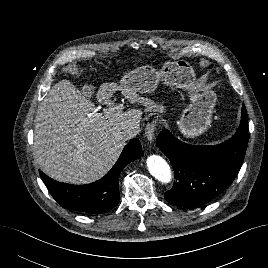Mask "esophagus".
Here are the masks:
<instances>
[{
	"label": "esophagus",
	"mask_w": 268,
	"mask_h": 268,
	"mask_svg": "<svg viewBox=\"0 0 268 268\" xmlns=\"http://www.w3.org/2000/svg\"><path fill=\"white\" fill-rule=\"evenodd\" d=\"M156 133V125L154 123H151L146 126L144 136L148 142H152L155 138Z\"/></svg>",
	"instance_id": "34e87169"
}]
</instances>
